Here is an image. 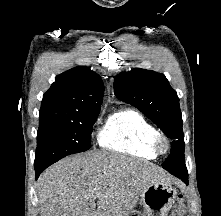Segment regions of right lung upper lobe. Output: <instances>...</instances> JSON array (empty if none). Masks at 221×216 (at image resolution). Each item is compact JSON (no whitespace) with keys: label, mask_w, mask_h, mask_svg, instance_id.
Instances as JSON below:
<instances>
[{"label":"right lung upper lobe","mask_w":221,"mask_h":216,"mask_svg":"<svg viewBox=\"0 0 221 216\" xmlns=\"http://www.w3.org/2000/svg\"><path fill=\"white\" fill-rule=\"evenodd\" d=\"M103 94L99 75L85 66L72 68L58 75L43 95L39 124L100 111Z\"/></svg>","instance_id":"cb5924a9"}]
</instances>
